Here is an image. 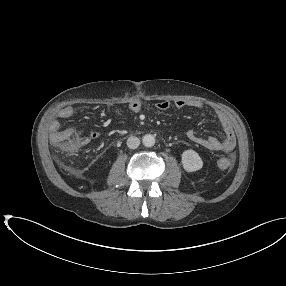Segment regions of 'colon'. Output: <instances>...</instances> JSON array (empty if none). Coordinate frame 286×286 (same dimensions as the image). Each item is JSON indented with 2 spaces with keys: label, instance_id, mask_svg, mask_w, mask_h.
<instances>
[{
  "label": "colon",
  "instance_id": "colon-1",
  "mask_svg": "<svg viewBox=\"0 0 286 286\" xmlns=\"http://www.w3.org/2000/svg\"><path fill=\"white\" fill-rule=\"evenodd\" d=\"M52 142L59 152L64 156L75 155L87 143L86 137L81 136L73 130L56 131L51 136ZM235 156L221 158L218 166L221 169H229L234 165Z\"/></svg>",
  "mask_w": 286,
  "mask_h": 286
}]
</instances>
